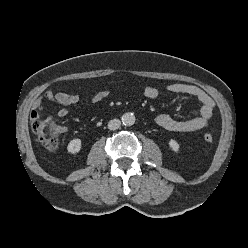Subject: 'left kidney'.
Here are the masks:
<instances>
[{
	"mask_svg": "<svg viewBox=\"0 0 248 248\" xmlns=\"http://www.w3.org/2000/svg\"><path fill=\"white\" fill-rule=\"evenodd\" d=\"M169 147H170V148L172 149V151H174V152H178V151H179V148H180L178 142H176V141L173 140V139H171V140L169 141Z\"/></svg>",
	"mask_w": 248,
	"mask_h": 248,
	"instance_id": "5707ae66",
	"label": "left kidney"
}]
</instances>
